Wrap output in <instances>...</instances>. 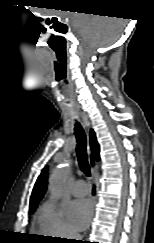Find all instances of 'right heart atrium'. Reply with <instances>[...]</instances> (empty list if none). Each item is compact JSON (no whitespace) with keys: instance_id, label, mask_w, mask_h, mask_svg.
<instances>
[{"instance_id":"right-heart-atrium-1","label":"right heart atrium","mask_w":154,"mask_h":243,"mask_svg":"<svg viewBox=\"0 0 154 243\" xmlns=\"http://www.w3.org/2000/svg\"><path fill=\"white\" fill-rule=\"evenodd\" d=\"M38 226L40 232L48 237L70 239L77 235L68 221L65 208L54 201H47L41 206Z\"/></svg>"}]
</instances>
